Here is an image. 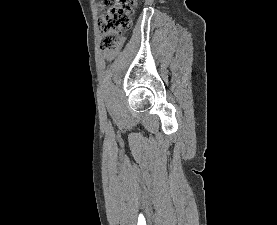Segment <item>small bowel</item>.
<instances>
[{"label":"small bowel","instance_id":"small-bowel-1","mask_svg":"<svg viewBox=\"0 0 277 225\" xmlns=\"http://www.w3.org/2000/svg\"><path fill=\"white\" fill-rule=\"evenodd\" d=\"M112 56H107L108 59H110Z\"/></svg>","mask_w":277,"mask_h":225}]
</instances>
